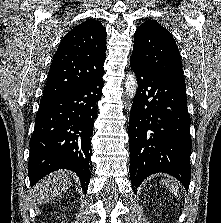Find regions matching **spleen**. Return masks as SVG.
Returning <instances> with one entry per match:
<instances>
[{
	"instance_id": "obj_1",
	"label": "spleen",
	"mask_w": 221,
	"mask_h": 223,
	"mask_svg": "<svg viewBox=\"0 0 221 223\" xmlns=\"http://www.w3.org/2000/svg\"><path fill=\"white\" fill-rule=\"evenodd\" d=\"M165 184H166L167 187H169L172 191H174V194L177 196L178 188L175 187V186L173 185V183L170 182V181H166Z\"/></svg>"
}]
</instances>
